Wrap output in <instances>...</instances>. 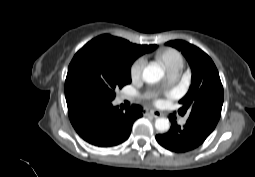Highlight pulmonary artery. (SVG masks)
<instances>
[{
  "label": "pulmonary artery",
  "mask_w": 255,
  "mask_h": 177,
  "mask_svg": "<svg viewBox=\"0 0 255 177\" xmlns=\"http://www.w3.org/2000/svg\"><path fill=\"white\" fill-rule=\"evenodd\" d=\"M169 76H170L171 79H173L175 77L173 75H169ZM125 98H127V97H125ZM179 122H180L181 125H184L186 123V118H182Z\"/></svg>",
  "instance_id": "e3ab8cb5"
}]
</instances>
